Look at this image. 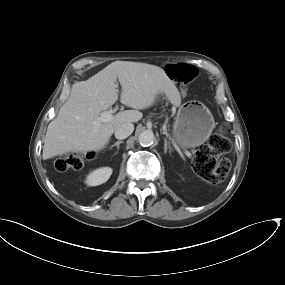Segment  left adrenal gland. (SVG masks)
<instances>
[{"instance_id":"a2214340","label":"left adrenal gland","mask_w":285,"mask_h":285,"mask_svg":"<svg viewBox=\"0 0 285 285\" xmlns=\"http://www.w3.org/2000/svg\"><path fill=\"white\" fill-rule=\"evenodd\" d=\"M168 149L171 150V147L168 146L167 140L165 139V141H164V153H167V150H168ZM169 152H171V151H169Z\"/></svg>"}]
</instances>
